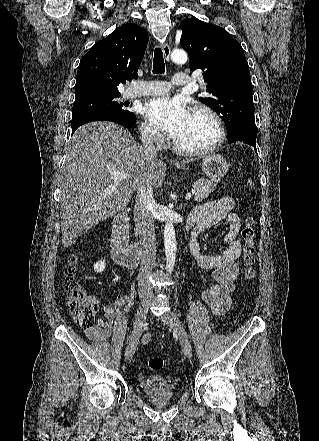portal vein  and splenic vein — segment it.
Here are the masks:
<instances>
[{
  "instance_id": "portal-vein-and-splenic-vein-1",
  "label": "portal vein and splenic vein",
  "mask_w": 319,
  "mask_h": 441,
  "mask_svg": "<svg viewBox=\"0 0 319 441\" xmlns=\"http://www.w3.org/2000/svg\"><path fill=\"white\" fill-rule=\"evenodd\" d=\"M111 174L114 176L115 179L117 180H128L130 178V175L127 172L124 171H117V170H113L110 171ZM192 194L191 193H187L185 196L186 200H189L191 198Z\"/></svg>"
}]
</instances>
